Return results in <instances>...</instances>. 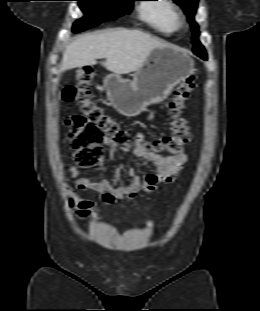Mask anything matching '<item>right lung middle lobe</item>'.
Masks as SVG:
<instances>
[{"label":"right lung middle lobe","mask_w":260,"mask_h":311,"mask_svg":"<svg viewBox=\"0 0 260 311\" xmlns=\"http://www.w3.org/2000/svg\"><path fill=\"white\" fill-rule=\"evenodd\" d=\"M85 13L73 25V32H81L108 20L129 14L135 0H76Z\"/></svg>","instance_id":"1"}]
</instances>
